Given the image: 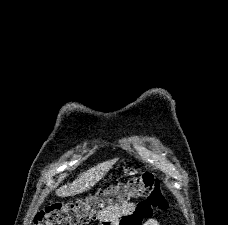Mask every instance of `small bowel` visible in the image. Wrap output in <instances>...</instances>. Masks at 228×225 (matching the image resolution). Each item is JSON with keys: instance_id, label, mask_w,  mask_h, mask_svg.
<instances>
[{"instance_id": "obj_1", "label": "small bowel", "mask_w": 228, "mask_h": 225, "mask_svg": "<svg viewBox=\"0 0 228 225\" xmlns=\"http://www.w3.org/2000/svg\"><path fill=\"white\" fill-rule=\"evenodd\" d=\"M139 203L135 206L134 203L128 202L105 211L98 218L99 225H160L158 218H152L151 204H147V199H140Z\"/></svg>"}]
</instances>
